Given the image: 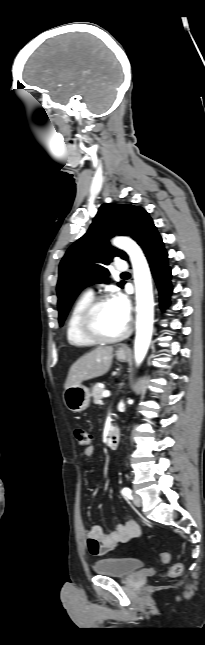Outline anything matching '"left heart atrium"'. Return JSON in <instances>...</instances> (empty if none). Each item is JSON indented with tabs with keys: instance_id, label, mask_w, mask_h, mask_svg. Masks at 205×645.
Returning a JSON list of instances; mask_svg holds the SVG:
<instances>
[{
	"instance_id": "39dd6f15",
	"label": "left heart atrium",
	"mask_w": 205,
	"mask_h": 645,
	"mask_svg": "<svg viewBox=\"0 0 205 645\" xmlns=\"http://www.w3.org/2000/svg\"><path fill=\"white\" fill-rule=\"evenodd\" d=\"M110 301L122 317L123 321L125 323H128L130 319L131 307L127 297L120 292H116L112 295Z\"/></svg>"
}]
</instances>
